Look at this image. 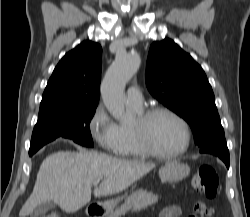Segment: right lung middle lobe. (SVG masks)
<instances>
[{
    "label": "right lung middle lobe",
    "mask_w": 250,
    "mask_h": 217,
    "mask_svg": "<svg viewBox=\"0 0 250 217\" xmlns=\"http://www.w3.org/2000/svg\"><path fill=\"white\" fill-rule=\"evenodd\" d=\"M97 106L73 107L50 113L39 114L32 133L29 156L45 144L57 138H68L74 142L92 147L89 124Z\"/></svg>",
    "instance_id": "right-lung-middle-lobe-1"
}]
</instances>
